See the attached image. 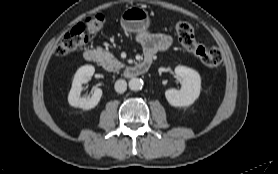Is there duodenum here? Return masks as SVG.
Instances as JSON below:
<instances>
[{"label": "duodenum", "mask_w": 278, "mask_h": 174, "mask_svg": "<svg viewBox=\"0 0 278 174\" xmlns=\"http://www.w3.org/2000/svg\"><path fill=\"white\" fill-rule=\"evenodd\" d=\"M98 57H99V53L95 49H87L84 52V58L88 62L94 63L98 60ZM151 63H152V59L150 57H146L138 64L127 68L125 74L128 77H136L142 75L149 70Z\"/></svg>", "instance_id": "duodenum-1"}]
</instances>
